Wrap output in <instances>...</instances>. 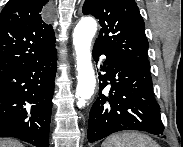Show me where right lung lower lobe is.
<instances>
[{"label": "right lung lower lobe", "mask_w": 183, "mask_h": 147, "mask_svg": "<svg viewBox=\"0 0 183 147\" xmlns=\"http://www.w3.org/2000/svg\"><path fill=\"white\" fill-rule=\"evenodd\" d=\"M56 51L0 74V137L49 147Z\"/></svg>", "instance_id": "1"}]
</instances>
